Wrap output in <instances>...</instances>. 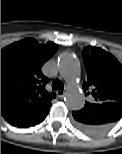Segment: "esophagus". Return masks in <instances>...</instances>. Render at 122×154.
<instances>
[{"label": "esophagus", "instance_id": "34e87169", "mask_svg": "<svg viewBox=\"0 0 122 154\" xmlns=\"http://www.w3.org/2000/svg\"><path fill=\"white\" fill-rule=\"evenodd\" d=\"M56 94H57V97L58 98H63L64 95H65V91H63V90H57L56 91Z\"/></svg>", "mask_w": 122, "mask_h": 154}]
</instances>
